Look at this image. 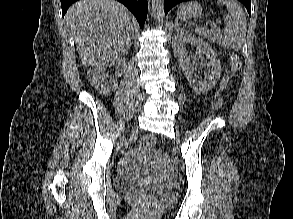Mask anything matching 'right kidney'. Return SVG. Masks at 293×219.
I'll return each mask as SVG.
<instances>
[{"instance_id": "right-kidney-1", "label": "right kidney", "mask_w": 293, "mask_h": 219, "mask_svg": "<svg viewBox=\"0 0 293 219\" xmlns=\"http://www.w3.org/2000/svg\"><path fill=\"white\" fill-rule=\"evenodd\" d=\"M115 63L118 64L119 70L115 76L109 77L107 69ZM124 66L125 59L122 57H101L88 70V80L98 93L108 96L116 90Z\"/></svg>"}]
</instances>
